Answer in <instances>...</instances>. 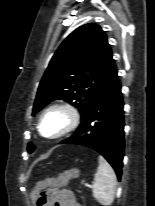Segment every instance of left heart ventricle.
Listing matches in <instances>:
<instances>
[{
	"mask_svg": "<svg viewBox=\"0 0 155 206\" xmlns=\"http://www.w3.org/2000/svg\"><path fill=\"white\" fill-rule=\"evenodd\" d=\"M65 124V117L61 113L48 115L43 122V133L47 136L56 134Z\"/></svg>",
	"mask_w": 155,
	"mask_h": 206,
	"instance_id": "left-heart-ventricle-1",
	"label": "left heart ventricle"
}]
</instances>
